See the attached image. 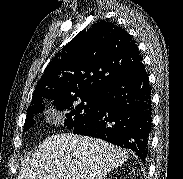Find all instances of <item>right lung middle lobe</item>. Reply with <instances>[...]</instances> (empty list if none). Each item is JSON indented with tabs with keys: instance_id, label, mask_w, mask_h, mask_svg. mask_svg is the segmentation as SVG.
Segmentation results:
<instances>
[{
	"instance_id": "right-lung-middle-lobe-1",
	"label": "right lung middle lobe",
	"mask_w": 183,
	"mask_h": 179,
	"mask_svg": "<svg viewBox=\"0 0 183 179\" xmlns=\"http://www.w3.org/2000/svg\"><path fill=\"white\" fill-rule=\"evenodd\" d=\"M53 105L58 109H68L64 125L69 129H75L88 122L98 111L99 94H83L79 96H64L51 98ZM44 109L42 100L28 108L24 130H28L34 124L32 118L35 113Z\"/></svg>"
}]
</instances>
